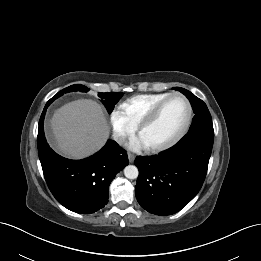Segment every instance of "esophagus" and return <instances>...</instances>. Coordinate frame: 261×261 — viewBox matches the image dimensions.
I'll use <instances>...</instances> for the list:
<instances>
[{"label": "esophagus", "mask_w": 261, "mask_h": 261, "mask_svg": "<svg viewBox=\"0 0 261 261\" xmlns=\"http://www.w3.org/2000/svg\"><path fill=\"white\" fill-rule=\"evenodd\" d=\"M128 159L130 163H133L135 160V155L132 153H128Z\"/></svg>", "instance_id": "34e87169"}]
</instances>
